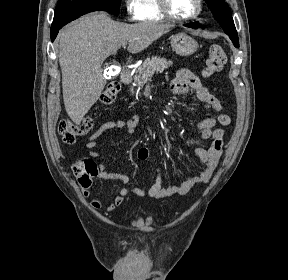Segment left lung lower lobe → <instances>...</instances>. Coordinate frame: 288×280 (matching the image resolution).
<instances>
[{"label":"left lung lower lobe","instance_id":"1","mask_svg":"<svg viewBox=\"0 0 288 280\" xmlns=\"http://www.w3.org/2000/svg\"><path fill=\"white\" fill-rule=\"evenodd\" d=\"M185 26L191 27V28H199L200 24H199V22H194V23L186 24Z\"/></svg>","mask_w":288,"mask_h":280}]
</instances>
